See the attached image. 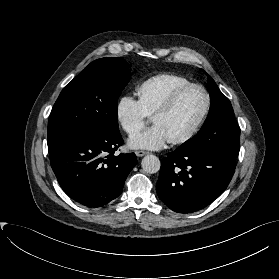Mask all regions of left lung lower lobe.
<instances>
[{
	"instance_id": "0a47b994",
	"label": "left lung lower lobe",
	"mask_w": 279,
	"mask_h": 279,
	"mask_svg": "<svg viewBox=\"0 0 279 279\" xmlns=\"http://www.w3.org/2000/svg\"><path fill=\"white\" fill-rule=\"evenodd\" d=\"M235 161L236 158L217 151L169 152L161 163L158 197L175 212L198 211L226 190Z\"/></svg>"
}]
</instances>
